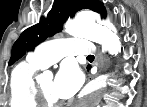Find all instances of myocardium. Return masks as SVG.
Masks as SVG:
<instances>
[{
	"mask_svg": "<svg viewBox=\"0 0 147 107\" xmlns=\"http://www.w3.org/2000/svg\"><path fill=\"white\" fill-rule=\"evenodd\" d=\"M33 96L38 107H59L62 105L61 101H53L47 98L43 92L40 80L34 81Z\"/></svg>",
	"mask_w": 147,
	"mask_h": 107,
	"instance_id": "f54148a6",
	"label": "myocardium"
}]
</instances>
